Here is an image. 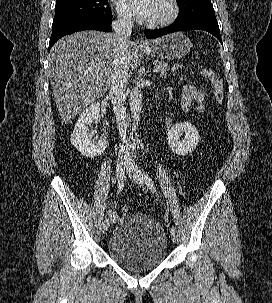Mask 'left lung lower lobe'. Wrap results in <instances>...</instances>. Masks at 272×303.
I'll return each instance as SVG.
<instances>
[{
	"mask_svg": "<svg viewBox=\"0 0 272 303\" xmlns=\"http://www.w3.org/2000/svg\"><path fill=\"white\" fill-rule=\"evenodd\" d=\"M187 30H204L213 34L222 43L220 30L216 17L195 18L175 21L170 26L158 30H145L146 38L154 39L169 33ZM223 45V44H222Z\"/></svg>",
	"mask_w": 272,
	"mask_h": 303,
	"instance_id": "0a47b994",
	"label": "left lung lower lobe"
}]
</instances>
